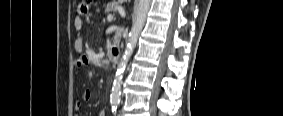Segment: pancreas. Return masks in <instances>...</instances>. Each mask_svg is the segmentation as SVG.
Segmentation results:
<instances>
[{"mask_svg": "<svg viewBox=\"0 0 283 116\" xmlns=\"http://www.w3.org/2000/svg\"><path fill=\"white\" fill-rule=\"evenodd\" d=\"M118 5V3L116 1H113L111 3H109L105 9V12L107 14H110L112 11L115 10V7Z\"/></svg>", "mask_w": 283, "mask_h": 116, "instance_id": "1", "label": "pancreas"}]
</instances>
